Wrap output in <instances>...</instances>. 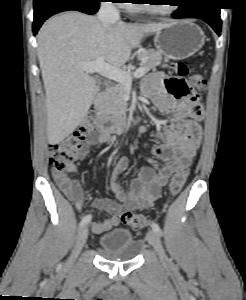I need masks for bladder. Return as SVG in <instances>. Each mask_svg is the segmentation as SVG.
I'll return each mask as SVG.
<instances>
[{
	"instance_id": "1",
	"label": "bladder",
	"mask_w": 246,
	"mask_h": 300,
	"mask_svg": "<svg viewBox=\"0 0 246 300\" xmlns=\"http://www.w3.org/2000/svg\"><path fill=\"white\" fill-rule=\"evenodd\" d=\"M99 248L108 257L131 261L138 256L141 245L128 229L114 228L101 235Z\"/></svg>"
}]
</instances>
